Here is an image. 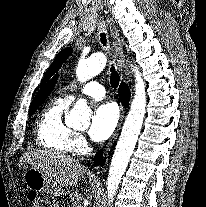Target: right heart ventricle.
<instances>
[{
	"label": "right heart ventricle",
	"instance_id": "obj_1",
	"mask_svg": "<svg viewBox=\"0 0 206 207\" xmlns=\"http://www.w3.org/2000/svg\"><path fill=\"white\" fill-rule=\"evenodd\" d=\"M70 101L66 98L55 99L41 113L36 128V142L45 149L67 153L75 148V132L64 121Z\"/></svg>",
	"mask_w": 206,
	"mask_h": 207
}]
</instances>
